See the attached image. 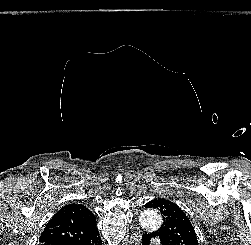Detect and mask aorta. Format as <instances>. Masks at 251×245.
<instances>
[{"label": "aorta", "mask_w": 251, "mask_h": 245, "mask_svg": "<svg viewBox=\"0 0 251 245\" xmlns=\"http://www.w3.org/2000/svg\"><path fill=\"white\" fill-rule=\"evenodd\" d=\"M139 222L144 229L155 231L161 226L162 218L155 210H145L141 213Z\"/></svg>", "instance_id": "762f6f07"}]
</instances>
